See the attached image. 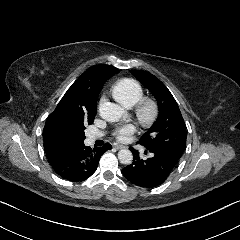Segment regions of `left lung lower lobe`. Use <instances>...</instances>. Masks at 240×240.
<instances>
[{
    "label": "left lung lower lobe",
    "mask_w": 240,
    "mask_h": 240,
    "mask_svg": "<svg viewBox=\"0 0 240 240\" xmlns=\"http://www.w3.org/2000/svg\"><path fill=\"white\" fill-rule=\"evenodd\" d=\"M129 149L134 160L122 169V173L130 183L144 188H153L164 183L179 160L158 148L147 149L153 153V157L141 160L137 150L132 147Z\"/></svg>",
    "instance_id": "1"
}]
</instances>
